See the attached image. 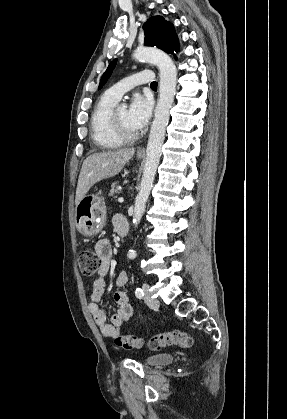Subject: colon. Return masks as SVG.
<instances>
[{"label":"colon","mask_w":287,"mask_h":419,"mask_svg":"<svg viewBox=\"0 0 287 419\" xmlns=\"http://www.w3.org/2000/svg\"><path fill=\"white\" fill-rule=\"evenodd\" d=\"M78 261L81 273L85 276H93L101 267V258L91 250L82 251ZM114 343L118 347L131 350L140 348L144 342L136 335H121L114 339ZM191 344V336L179 330L154 335L147 341V346L151 350H160L168 346L188 348Z\"/></svg>","instance_id":"colon-1"}]
</instances>
